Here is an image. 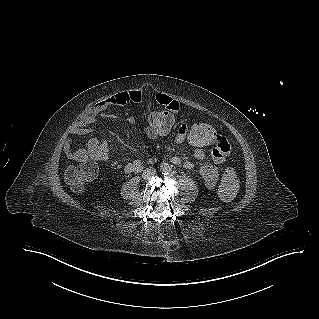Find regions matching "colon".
<instances>
[{"mask_svg": "<svg viewBox=\"0 0 319 319\" xmlns=\"http://www.w3.org/2000/svg\"><path fill=\"white\" fill-rule=\"evenodd\" d=\"M177 127L178 120L176 116L173 113H166L165 110L151 113L143 123L145 134L153 140H160L172 135ZM188 127L190 132L185 135V138L192 147L206 152L217 149L215 143L211 141L213 136H221V132L216 126L210 122L199 120L192 122ZM227 144L230 148L228 142ZM73 156L79 161V164L66 170L65 181L73 192L79 193L97 177L98 166L96 161L98 158L84 150L74 152ZM240 185L241 180L233 171H229L221 181L218 195L223 200H230L236 195Z\"/></svg>", "mask_w": 319, "mask_h": 319, "instance_id": "5ec220e1", "label": "colon"}]
</instances>
